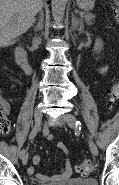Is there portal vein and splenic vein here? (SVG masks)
<instances>
[{
  "mask_svg": "<svg viewBox=\"0 0 119 185\" xmlns=\"http://www.w3.org/2000/svg\"><path fill=\"white\" fill-rule=\"evenodd\" d=\"M79 14H80V16H83L84 15V12H80Z\"/></svg>",
  "mask_w": 119,
  "mask_h": 185,
  "instance_id": "1",
  "label": "portal vein and splenic vein"
}]
</instances>
